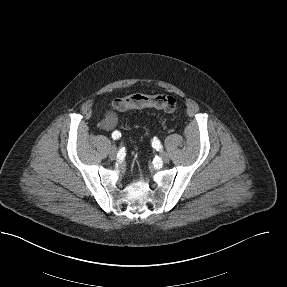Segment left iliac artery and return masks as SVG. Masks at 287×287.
<instances>
[{"label":"left iliac artery","mask_w":287,"mask_h":287,"mask_svg":"<svg viewBox=\"0 0 287 287\" xmlns=\"http://www.w3.org/2000/svg\"><path fill=\"white\" fill-rule=\"evenodd\" d=\"M152 146L156 148L157 150L162 149V145L160 141L157 138H154L152 141Z\"/></svg>","instance_id":"44dca946"}]
</instances>
